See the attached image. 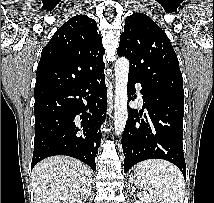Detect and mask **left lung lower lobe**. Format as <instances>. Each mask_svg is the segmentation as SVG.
Wrapping results in <instances>:
<instances>
[{
  "label": "left lung lower lobe",
  "instance_id": "0a47b994",
  "mask_svg": "<svg viewBox=\"0 0 214 203\" xmlns=\"http://www.w3.org/2000/svg\"><path fill=\"white\" fill-rule=\"evenodd\" d=\"M138 82L128 76V99L133 100L134 84ZM141 94L148 115L135 109L129 111L122 135L124 172L143 160L164 159L175 164L186 178L182 144L184 96L143 86Z\"/></svg>",
  "mask_w": 214,
  "mask_h": 203
}]
</instances>
